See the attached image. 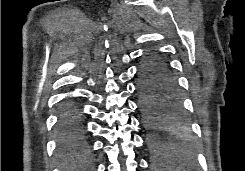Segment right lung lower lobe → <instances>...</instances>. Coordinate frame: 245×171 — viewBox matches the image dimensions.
<instances>
[{
    "instance_id": "1",
    "label": "right lung lower lobe",
    "mask_w": 245,
    "mask_h": 171,
    "mask_svg": "<svg viewBox=\"0 0 245 171\" xmlns=\"http://www.w3.org/2000/svg\"><path fill=\"white\" fill-rule=\"evenodd\" d=\"M59 153L73 155L86 145V129L81 107L73 98H66L60 105L57 123Z\"/></svg>"
}]
</instances>
